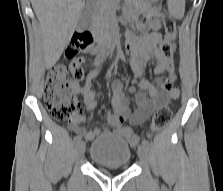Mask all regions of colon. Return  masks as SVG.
<instances>
[{
    "label": "colon",
    "instance_id": "obj_1",
    "mask_svg": "<svg viewBox=\"0 0 223 191\" xmlns=\"http://www.w3.org/2000/svg\"><path fill=\"white\" fill-rule=\"evenodd\" d=\"M165 33L160 40L159 51L165 61L166 73H173L177 63L172 54L170 40L175 36L176 23L172 17L163 19ZM92 41L89 33L76 34L67 45L65 54L68 58L75 57ZM85 78V70L79 61H72L67 68L64 65L53 67L48 75L44 102L51 116L57 121H66L74 117L78 110V102L74 92V82H80ZM171 119V110L164 106L155 112L148 133L154 134L161 131ZM119 133L127 138L129 144L136 148L140 144L142 135L128 127H123Z\"/></svg>",
    "mask_w": 223,
    "mask_h": 191
}]
</instances>
